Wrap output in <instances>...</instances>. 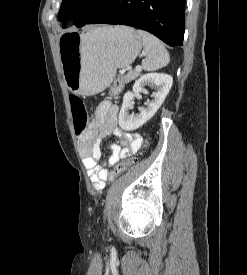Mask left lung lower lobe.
Instances as JSON below:
<instances>
[{"instance_id":"left-lung-lower-lobe-1","label":"left lung lower lobe","mask_w":247,"mask_h":275,"mask_svg":"<svg viewBox=\"0 0 247 275\" xmlns=\"http://www.w3.org/2000/svg\"><path fill=\"white\" fill-rule=\"evenodd\" d=\"M184 14L185 0H108L85 24L132 26L154 34L173 47L183 45Z\"/></svg>"}]
</instances>
